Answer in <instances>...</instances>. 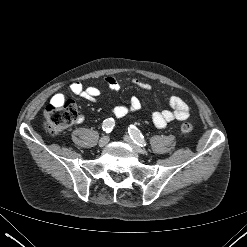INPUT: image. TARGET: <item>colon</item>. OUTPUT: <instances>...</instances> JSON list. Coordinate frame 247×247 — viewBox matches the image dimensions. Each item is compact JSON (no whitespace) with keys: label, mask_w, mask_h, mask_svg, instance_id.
Here are the masks:
<instances>
[{"label":"colon","mask_w":247,"mask_h":247,"mask_svg":"<svg viewBox=\"0 0 247 247\" xmlns=\"http://www.w3.org/2000/svg\"><path fill=\"white\" fill-rule=\"evenodd\" d=\"M76 116V107L72 102L51 103L44 111L45 128L50 134L58 135L76 120ZM192 130L193 126L189 122L180 126L182 134H189Z\"/></svg>","instance_id":"1"}]
</instances>
